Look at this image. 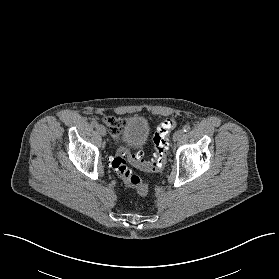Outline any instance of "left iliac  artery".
I'll use <instances>...</instances> for the list:
<instances>
[{"label": "left iliac artery", "mask_w": 279, "mask_h": 279, "mask_svg": "<svg viewBox=\"0 0 279 279\" xmlns=\"http://www.w3.org/2000/svg\"><path fill=\"white\" fill-rule=\"evenodd\" d=\"M184 132H189L190 131V126L188 124L183 126Z\"/></svg>", "instance_id": "44dca946"}]
</instances>
